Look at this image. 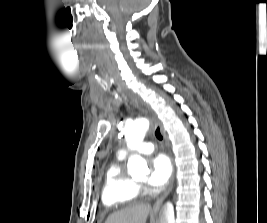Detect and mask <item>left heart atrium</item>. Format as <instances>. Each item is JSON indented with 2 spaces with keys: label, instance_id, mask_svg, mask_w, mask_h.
<instances>
[{
  "label": "left heart atrium",
  "instance_id": "left-heart-atrium-1",
  "mask_svg": "<svg viewBox=\"0 0 267 223\" xmlns=\"http://www.w3.org/2000/svg\"><path fill=\"white\" fill-rule=\"evenodd\" d=\"M173 172L172 160L166 154L154 156L150 163L148 182L155 187H163L169 181Z\"/></svg>",
  "mask_w": 267,
  "mask_h": 223
}]
</instances>
